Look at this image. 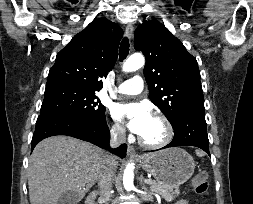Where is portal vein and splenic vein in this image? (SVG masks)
Masks as SVG:
<instances>
[{
    "mask_svg": "<svg viewBox=\"0 0 253 204\" xmlns=\"http://www.w3.org/2000/svg\"><path fill=\"white\" fill-rule=\"evenodd\" d=\"M145 183H146V184H149V185L153 184L152 180H150V179H146V180H145Z\"/></svg>",
    "mask_w": 253,
    "mask_h": 204,
    "instance_id": "18ae733b",
    "label": "portal vein and splenic vein"
}]
</instances>
